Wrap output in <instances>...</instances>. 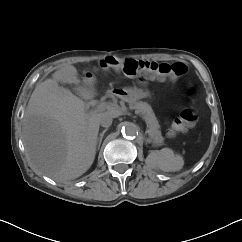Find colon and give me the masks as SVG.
I'll return each instance as SVG.
<instances>
[{"mask_svg": "<svg viewBox=\"0 0 242 242\" xmlns=\"http://www.w3.org/2000/svg\"><path fill=\"white\" fill-rule=\"evenodd\" d=\"M101 68L120 70L133 77L139 83L148 80L163 81L166 79L178 80L187 74V66L181 62L159 63L154 61H139L122 59L116 56H107L98 62ZM197 121V114L192 109H185L172 123L169 133H178L188 130Z\"/></svg>", "mask_w": 242, "mask_h": 242, "instance_id": "5ec220e1", "label": "colon"}]
</instances>
